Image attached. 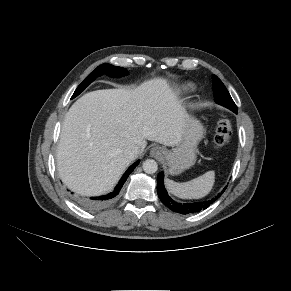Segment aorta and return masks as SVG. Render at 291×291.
<instances>
[{
	"mask_svg": "<svg viewBox=\"0 0 291 291\" xmlns=\"http://www.w3.org/2000/svg\"><path fill=\"white\" fill-rule=\"evenodd\" d=\"M143 170L148 174H153L158 170V164L153 159H147L143 162Z\"/></svg>",
	"mask_w": 291,
	"mask_h": 291,
	"instance_id": "obj_1",
	"label": "aorta"
}]
</instances>
